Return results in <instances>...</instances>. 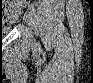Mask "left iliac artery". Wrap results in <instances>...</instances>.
I'll return each instance as SVG.
<instances>
[{"label": "left iliac artery", "mask_w": 93, "mask_h": 83, "mask_svg": "<svg viewBox=\"0 0 93 83\" xmlns=\"http://www.w3.org/2000/svg\"><path fill=\"white\" fill-rule=\"evenodd\" d=\"M29 12L31 15H34L35 14V9L33 6H29Z\"/></svg>", "instance_id": "44dca946"}]
</instances>
